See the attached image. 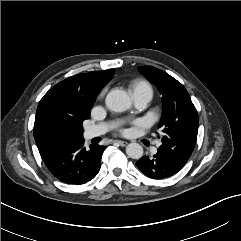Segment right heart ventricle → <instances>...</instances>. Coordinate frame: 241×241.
Returning <instances> with one entry per match:
<instances>
[{
  "label": "right heart ventricle",
  "instance_id": "obj_1",
  "mask_svg": "<svg viewBox=\"0 0 241 241\" xmlns=\"http://www.w3.org/2000/svg\"><path fill=\"white\" fill-rule=\"evenodd\" d=\"M130 90L132 92V94L141 91V90H147L150 91L152 93V88L151 85L142 79H136L134 81L131 82L130 84Z\"/></svg>",
  "mask_w": 241,
  "mask_h": 241
}]
</instances>
